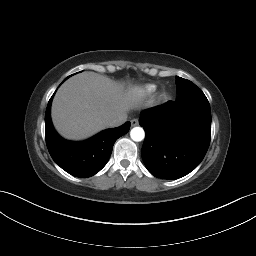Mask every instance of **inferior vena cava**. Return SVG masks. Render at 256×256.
Here are the masks:
<instances>
[{
  "label": "inferior vena cava",
  "mask_w": 256,
  "mask_h": 256,
  "mask_svg": "<svg viewBox=\"0 0 256 256\" xmlns=\"http://www.w3.org/2000/svg\"><path fill=\"white\" fill-rule=\"evenodd\" d=\"M127 120V115H120L117 118H115L114 120H112L108 126L109 127H117L122 125L125 121Z\"/></svg>",
  "instance_id": "obj_1"
}]
</instances>
